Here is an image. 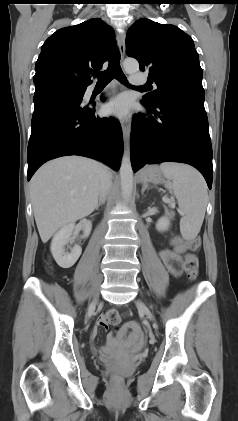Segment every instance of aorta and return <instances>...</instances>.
<instances>
[{
    "label": "aorta",
    "instance_id": "762f6f07",
    "mask_svg": "<svg viewBox=\"0 0 238 421\" xmlns=\"http://www.w3.org/2000/svg\"><path fill=\"white\" fill-rule=\"evenodd\" d=\"M125 72L134 73L139 70V63L136 59L127 58L123 62ZM121 189L123 198L129 201L133 190V170L131 166L130 156L124 153L120 166Z\"/></svg>",
    "mask_w": 238,
    "mask_h": 421
}]
</instances>
